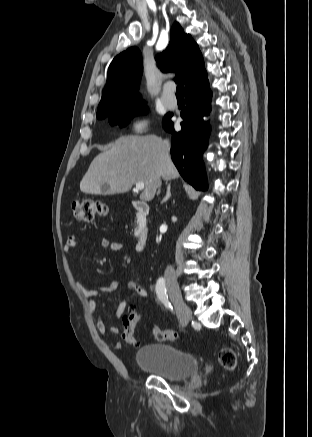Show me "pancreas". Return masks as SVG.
<instances>
[{
    "instance_id": "1",
    "label": "pancreas",
    "mask_w": 312,
    "mask_h": 437,
    "mask_svg": "<svg viewBox=\"0 0 312 437\" xmlns=\"http://www.w3.org/2000/svg\"><path fill=\"white\" fill-rule=\"evenodd\" d=\"M135 233H137V229L135 228Z\"/></svg>"
}]
</instances>
